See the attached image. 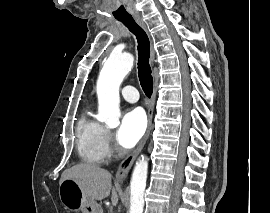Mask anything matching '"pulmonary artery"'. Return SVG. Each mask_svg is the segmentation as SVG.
I'll use <instances>...</instances> for the list:
<instances>
[{"instance_id": "obj_1", "label": "pulmonary artery", "mask_w": 270, "mask_h": 213, "mask_svg": "<svg viewBox=\"0 0 270 213\" xmlns=\"http://www.w3.org/2000/svg\"><path fill=\"white\" fill-rule=\"evenodd\" d=\"M122 97L130 102V103H135L139 99V94L136 88L132 86H126L122 89L121 91Z\"/></svg>"}]
</instances>
